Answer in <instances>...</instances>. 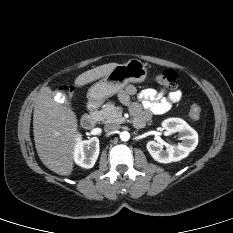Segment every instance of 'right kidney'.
Returning <instances> with one entry per match:
<instances>
[{
  "instance_id": "right-kidney-1",
  "label": "right kidney",
  "mask_w": 233,
  "mask_h": 233,
  "mask_svg": "<svg viewBox=\"0 0 233 233\" xmlns=\"http://www.w3.org/2000/svg\"><path fill=\"white\" fill-rule=\"evenodd\" d=\"M99 139L92 137L89 140H81L77 135L74 148V160L83 168H92L99 156Z\"/></svg>"
}]
</instances>
